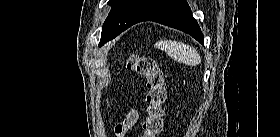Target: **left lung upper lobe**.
<instances>
[{
    "instance_id": "5c2ea615",
    "label": "left lung upper lobe",
    "mask_w": 280,
    "mask_h": 137,
    "mask_svg": "<svg viewBox=\"0 0 280 137\" xmlns=\"http://www.w3.org/2000/svg\"><path fill=\"white\" fill-rule=\"evenodd\" d=\"M161 0H109L112 6L103 26L100 46L140 20Z\"/></svg>"
}]
</instances>
